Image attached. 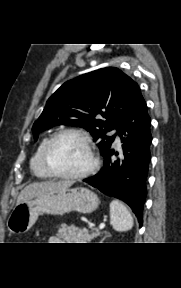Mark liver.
Listing matches in <instances>:
<instances>
[{
	"mask_svg": "<svg viewBox=\"0 0 181 288\" xmlns=\"http://www.w3.org/2000/svg\"><path fill=\"white\" fill-rule=\"evenodd\" d=\"M72 184V181H45L29 184L20 192L17 199V204L34 198L36 196L42 195L46 192L59 191L69 188Z\"/></svg>",
	"mask_w": 181,
	"mask_h": 288,
	"instance_id": "1",
	"label": "liver"
}]
</instances>
